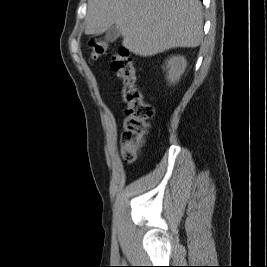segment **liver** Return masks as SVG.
I'll return each mask as SVG.
<instances>
[{"mask_svg": "<svg viewBox=\"0 0 267 267\" xmlns=\"http://www.w3.org/2000/svg\"><path fill=\"white\" fill-rule=\"evenodd\" d=\"M116 25L130 52L153 56L200 45L203 39L199 0H88L85 34L100 35Z\"/></svg>", "mask_w": 267, "mask_h": 267, "instance_id": "1", "label": "liver"}]
</instances>
